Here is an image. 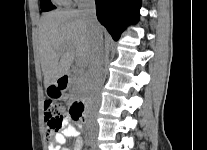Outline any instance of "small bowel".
Here are the masks:
<instances>
[{"mask_svg":"<svg viewBox=\"0 0 207 150\" xmlns=\"http://www.w3.org/2000/svg\"><path fill=\"white\" fill-rule=\"evenodd\" d=\"M76 137L74 147H65V143L68 138ZM83 140L80 137V128L75 121L65 120L62 129L59 132L51 134L50 150H81Z\"/></svg>","mask_w":207,"mask_h":150,"instance_id":"obj_1","label":"small bowel"}]
</instances>
